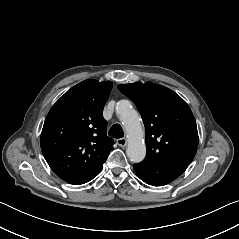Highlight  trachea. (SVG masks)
<instances>
[{
	"instance_id": "1",
	"label": "trachea",
	"mask_w": 239,
	"mask_h": 239,
	"mask_svg": "<svg viewBox=\"0 0 239 239\" xmlns=\"http://www.w3.org/2000/svg\"><path fill=\"white\" fill-rule=\"evenodd\" d=\"M108 135L110 137L119 139V138L124 137V132H123L122 127L119 124H113L111 126V128L109 129Z\"/></svg>"
}]
</instances>
